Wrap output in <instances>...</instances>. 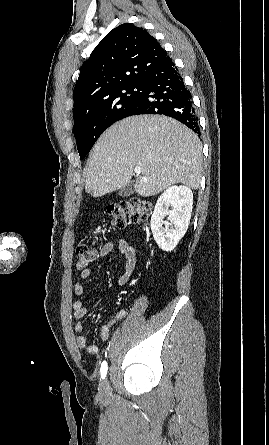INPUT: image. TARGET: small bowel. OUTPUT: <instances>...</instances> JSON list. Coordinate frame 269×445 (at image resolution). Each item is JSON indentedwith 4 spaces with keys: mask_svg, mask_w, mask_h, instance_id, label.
<instances>
[{
    "mask_svg": "<svg viewBox=\"0 0 269 445\" xmlns=\"http://www.w3.org/2000/svg\"><path fill=\"white\" fill-rule=\"evenodd\" d=\"M117 248L124 259V272L118 279L120 285H124L128 282L131 274L133 273L137 257L134 247L124 239H119L117 241H111L106 243L101 251V256H105L110 253L113 249ZM93 274L91 268H86L81 271V278L88 279ZM85 292L84 285L81 282H76L74 284V293L77 296L83 295ZM96 306V305H95ZM74 317L76 320L83 319L87 314V308L82 300H77L73 303ZM128 314V310H120L116 313L113 319L104 324L100 331V338L102 341H106L109 337L110 329L112 325L124 318ZM76 333V343L77 346L85 350L88 354H95L97 352V346L93 343H89L86 335L84 334V326L82 323H77L74 327Z\"/></svg>",
    "mask_w": 269,
    "mask_h": 445,
    "instance_id": "small-bowel-1",
    "label": "small bowel"
}]
</instances>
